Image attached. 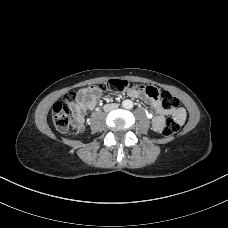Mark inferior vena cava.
Instances as JSON below:
<instances>
[{
  "instance_id": "obj_1",
  "label": "inferior vena cava",
  "mask_w": 228,
  "mask_h": 228,
  "mask_svg": "<svg viewBox=\"0 0 228 228\" xmlns=\"http://www.w3.org/2000/svg\"><path fill=\"white\" fill-rule=\"evenodd\" d=\"M118 108V104H107V105H104L103 109L105 112H110L112 110H115Z\"/></svg>"
}]
</instances>
